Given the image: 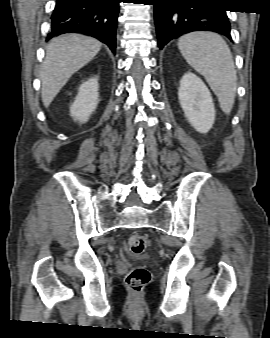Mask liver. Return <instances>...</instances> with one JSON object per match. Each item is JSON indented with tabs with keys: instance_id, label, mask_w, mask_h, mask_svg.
I'll return each mask as SVG.
<instances>
[{
	"instance_id": "liver-1",
	"label": "liver",
	"mask_w": 270,
	"mask_h": 338,
	"mask_svg": "<svg viewBox=\"0 0 270 338\" xmlns=\"http://www.w3.org/2000/svg\"><path fill=\"white\" fill-rule=\"evenodd\" d=\"M97 39L67 34L50 41L41 67V98L48 107L69 78L88 64L100 51Z\"/></svg>"
}]
</instances>
